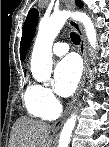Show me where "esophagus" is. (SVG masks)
<instances>
[{
	"label": "esophagus",
	"instance_id": "34e87169",
	"mask_svg": "<svg viewBox=\"0 0 109 147\" xmlns=\"http://www.w3.org/2000/svg\"><path fill=\"white\" fill-rule=\"evenodd\" d=\"M66 4L71 9L75 8L73 0H67ZM70 26L76 31V33H78V35L80 36V39H81L80 45H79V51H80V53H81V55L83 57V60H84V71H83L82 78L80 80V83L78 85V88H77L74 96L72 97V99L68 103V105L66 106L62 116L52 125V128L55 129V130L62 127V125L65 122L67 116L69 115L75 101L79 97V95L81 93V90H82V87H83V85L85 83V79H86L88 68H89L88 58H87V53H86V39H85L83 29H82L81 25L77 21L71 22Z\"/></svg>",
	"mask_w": 109,
	"mask_h": 147
}]
</instances>
